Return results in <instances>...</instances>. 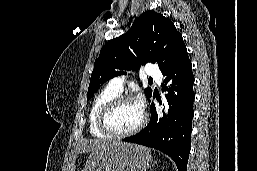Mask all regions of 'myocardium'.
<instances>
[{
  "label": "myocardium",
  "instance_id": "1",
  "mask_svg": "<svg viewBox=\"0 0 257 171\" xmlns=\"http://www.w3.org/2000/svg\"><path fill=\"white\" fill-rule=\"evenodd\" d=\"M129 102L135 103L133 98H131L129 96L118 95L117 97L108 101L103 106V108L100 111L99 117H98V126H99V128L102 132H104L105 134H107L110 137L121 139V138L129 137L131 135H134V134L138 133L145 126L146 121H147V117H146V114L143 111L140 122L133 129H131L129 131L116 132L110 127L109 116H110L111 112L117 106H119L123 103H129Z\"/></svg>",
  "mask_w": 257,
  "mask_h": 171
}]
</instances>
